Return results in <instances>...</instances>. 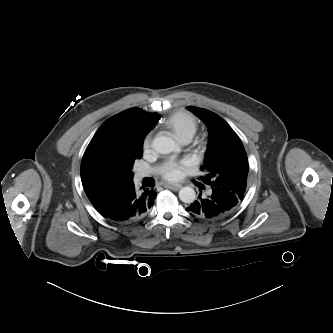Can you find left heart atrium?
Masks as SVG:
<instances>
[{
  "instance_id": "39dd6f15",
  "label": "left heart atrium",
  "mask_w": 333,
  "mask_h": 333,
  "mask_svg": "<svg viewBox=\"0 0 333 333\" xmlns=\"http://www.w3.org/2000/svg\"><path fill=\"white\" fill-rule=\"evenodd\" d=\"M184 169V162L169 161L162 168V176L168 181H175L182 177Z\"/></svg>"
}]
</instances>
